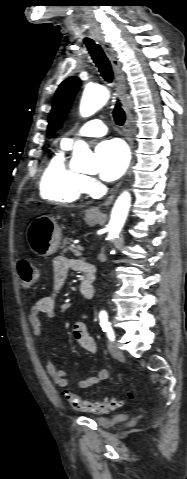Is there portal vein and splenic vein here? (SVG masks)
Masks as SVG:
<instances>
[{
	"mask_svg": "<svg viewBox=\"0 0 187 479\" xmlns=\"http://www.w3.org/2000/svg\"><path fill=\"white\" fill-rule=\"evenodd\" d=\"M76 250H77V253L80 254V252L84 251V247L81 246V245H77V246H76Z\"/></svg>",
	"mask_w": 187,
	"mask_h": 479,
	"instance_id": "18ae733b",
	"label": "portal vein and splenic vein"
}]
</instances>
